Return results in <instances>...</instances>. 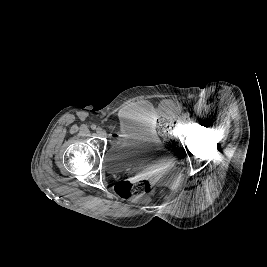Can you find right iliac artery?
<instances>
[{
    "label": "right iliac artery",
    "mask_w": 267,
    "mask_h": 267,
    "mask_svg": "<svg viewBox=\"0 0 267 267\" xmlns=\"http://www.w3.org/2000/svg\"><path fill=\"white\" fill-rule=\"evenodd\" d=\"M91 128H92L93 130H95V129H96V125L93 124V125L91 126Z\"/></svg>",
    "instance_id": "obj_1"
}]
</instances>
